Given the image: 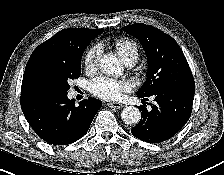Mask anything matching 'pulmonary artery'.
I'll return each instance as SVG.
<instances>
[{"label":"pulmonary artery","mask_w":224,"mask_h":175,"mask_svg":"<svg viewBox=\"0 0 224 175\" xmlns=\"http://www.w3.org/2000/svg\"><path fill=\"white\" fill-rule=\"evenodd\" d=\"M136 61L137 60L135 58H131L126 60L124 63L127 67H132L133 65H135Z\"/></svg>","instance_id":"pulmonary-artery-1"}]
</instances>
